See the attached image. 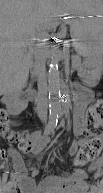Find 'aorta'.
Listing matches in <instances>:
<instances>
[{
  "label": "aorta",
  "instance_id": "1",
  "mask_svg": "<svg viewBox=\"0 0 103 193\" xmlns=\"http://www.w3.org/2000/svg\"><path fill=\"white\" fill-rule=\"evenodd\" d=\"M58 64H59V57L58 55H54L50 60L49 64V80L52 87V90L56 89L57 82H58Z\"/></svg>",
  "mask_w": 103,
  "mask_h": 193
}]
</instances>
